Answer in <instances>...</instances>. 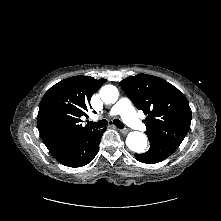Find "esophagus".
Here are the masks:
<instances>
[{
	"label": "esophagus",
	"mask_w": 221,
	"mask_h": 221,
	"mask_svg": "<svg viewBox=\"0 0 221 221\" xmlns=\"http://www.w3.org/2000/svg\"><path fill=\"white\" fill-rule=\"evenodd\" d=\"M119 130L123 134H127L129 132V130L127 128H122V129H119Z\"/></svg>",
	"instance_id": "esophagus-1"
}]
</instances>
